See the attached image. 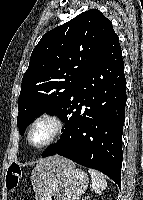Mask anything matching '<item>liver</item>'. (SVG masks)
<instances>
[{
	"label": "liver",
	"mask_w": 143,
	"mask_h": 200,
	"mask_svg": "<svg viewBox=\"0 0 143 200\" xmlns=\"http://www.w3.org/2000/svg\"><path fill=\"white\" fill-rule=\"evenodd\" d=\"M73 164L70 160L58 155L42 159L31 174V183L36 199H41L49 183L50 177L66 165Z\"/></svg>",
	"instance_id": "1"
}]
</instances>
